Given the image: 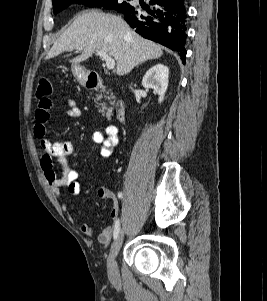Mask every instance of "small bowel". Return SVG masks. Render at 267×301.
I'll return each mask as SVG.
<instances>
[{"label": "small bowel", "instance_id": "1", "mask_svg": "<svg viewBox=\"0 0 267 301\" xmlns=\"http://www.w3.org/2000/svg\"><path fill=\"white\" fill-rule=\"evenodd\" d=\"M68 111L70 117H78L80 109L72 99H67ZM52 101L49 97L39 98L38 105L34 113L33 133L38 139L43 150L40 158V167L50 189L59 195L60 190L65 188L71 195L76 196L80 193L81 185L78 171L70 165V156L73 153V145L69 141L51 142L46 137V123L50 117ZM92 142L100 145V154L102 157H109L118 145V129L114 125H108L104 132H94ZM57 164L62 173L60 176L54 170ZM97 195L101 199H107L112 202L111 218L112 223L97 235V240L101 244H107L114 232L116 221L119 219V206L114 194L107 187H100ZM80 229L87 235L93 236L94 230L86 223H80Z\"/></svg>", "mask_w": 267, "mask_h": 301}]
</instances>
